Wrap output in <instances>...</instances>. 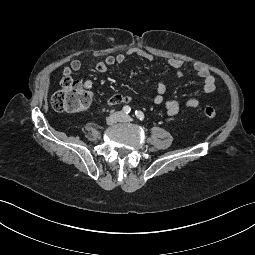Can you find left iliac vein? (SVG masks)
I'll return each instance as SVG.
<instances>
[{
  "label": "left iliac vein",
  "mask_w": 255,
  "mask_h": 255,
  "mask_svg": "<svg viewBox=\"0 0 255 255\" xmlns=\"http://www.w3.org/2000/svg\"><path fill=\"white\" fill-rule=\"evenodd\" d=\"M120 121L121 122H129V121H131V117L129 115H122V118Z\"/></svg>",
  "instance_id": "left-iliac-vein-1"
}]
</instances>
